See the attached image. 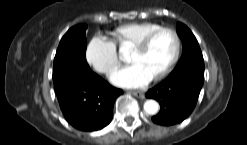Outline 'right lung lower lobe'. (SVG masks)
<instances>
[{"label": "right lung lower lobe", "instance_id": "1", "mask_svg": "<svg viewBox=\"0 0 247 145\" xmlns=\"http://www.w3.org/2000/svg\"><path fill=\"white\" fill-rule=\"evenodd\" d=\"M54 90L66 120L82 131L100 130L113 115L122 90L109 85L89 67L75 65L53 75Z\"/></svg>", "mask_w": 247, "mask_h": 145}]
</instances>
